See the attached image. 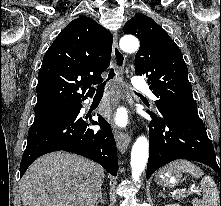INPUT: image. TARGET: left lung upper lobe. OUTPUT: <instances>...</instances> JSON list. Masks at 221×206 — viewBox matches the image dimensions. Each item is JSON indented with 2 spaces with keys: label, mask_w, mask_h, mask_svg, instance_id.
<instances>
[{
  "label": "left lung upper lobe",
  "mask_w": 221,
  "mask_h": 206,
  "mask_svg": "<svg viewBox=\"0 0 221 206\" xmlns=\"http://www.w3.org/2000/svg\"><path fill=\"white\" fill-rule=\"evenodd\" d=\"M123 30L140 40V49L135 56V74L148 77L150 89L159 98L156 101L159 112L198 116L187 66L167 32L143 14L135 15Z\"/></svg>",
  "instance_id": "left-lung-upper-lobe-1"
}]
</instances>
